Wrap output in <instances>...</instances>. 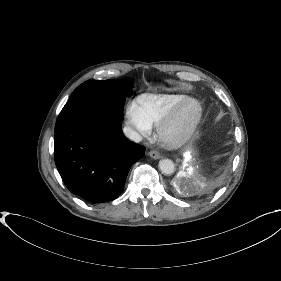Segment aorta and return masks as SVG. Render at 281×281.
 I'll return each mask as SVG.
<instances>
[{"label":"aorta","mask_w":281,"mask_h":281,"mask_svg":"<svg viewBox=\"0 0 281 281\" xmlns=\"http://www.w3.org/2000/svg\"><path fill=\"white\" fill-rule=\"evenodd\" d=\"M159 169L165 175H171L175 171V165L170 159H162L159 161Z\"/></svg>","instance_id":"obj_1"}]
</instances>
